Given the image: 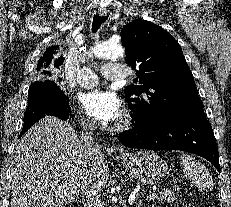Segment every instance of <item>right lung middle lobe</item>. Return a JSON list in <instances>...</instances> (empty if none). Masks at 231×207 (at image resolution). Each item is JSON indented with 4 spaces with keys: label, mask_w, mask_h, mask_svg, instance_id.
<instances>
[{
    "label": "right lung middle lobe",
    "mask_w": 231,
    "mask_h": 207,
    "mask_svg": "<svg viewBox=\"0 0 231 207\" xmlns=\"http://www.w3.org/2000/svg\"><path fill=\"white\" fill-rule=\"evenodd\" d=\"M42 83L43 82H39V81H37V82H35V83H33L31 86H30V88H29V92H28V100H32L33 99V97L35 96V88L37 87V86H39V85H42Z\"/></svg>",
    "instance_id": "1"
}]
</instances>
